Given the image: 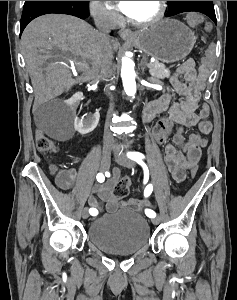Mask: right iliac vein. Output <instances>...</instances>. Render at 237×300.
Instances as JSON below:
<instances>
[{"instance_id":"63e3f726","label":"right iliac vein","mask_w":237,"mask_h":300,"mask_svg":"<svg viewBox=\"0 0 237 300\" xmlns=\"http://www.w3.org/2000/svg\"><path fill=\"white\" fill-rule=\"evenodd\" d=\"M111 148H105L104 149V153L101 157V161H100V170L102 172H105L109 169L110 167V163H111ZM89 217V210L88 208H85L83 211H82V218L83 219H86Z\"/></svg>"}]
</instances>
